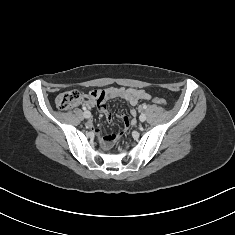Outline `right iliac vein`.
Listing matches in <instances>:
<instances>
[{"label":"right iliac vein","mask_w":235,"mask_h":235,"mask_svg":"<svg viewBox=\"0 0 235 235\" xmlns=\"http://www.w3.org/2000/svg\"><path fill=\"white\" fill-rule=\"evenodd\" d=\"M84 117H85L86 119L90 118V117H91V113H90V112L84 113Z\"/></svg>","instance_id":"63e3f726"}]
</instances>
